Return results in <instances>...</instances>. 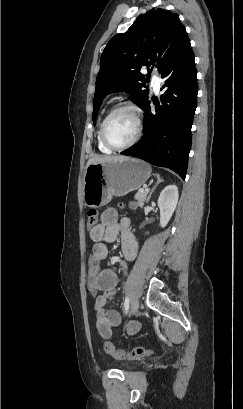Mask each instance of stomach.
Here are the masks:
<instances>
[{"mask_svg":"<svg viewBox=\"0 0 243 409\" xmlns=\"http://www.w3.org/2000/svg\"><path fill=\"white\" fill-rule=\"evenodd\" d=\"M150 175L151 167L136 158L90 164L83 177L84 204L92 208L105 206L113 196L121 197L139 189Z\"/></svg>","mask_w":243,"mask_h":409,"instance_id":"stomach-1","label":"stomach"}]
</instances>
